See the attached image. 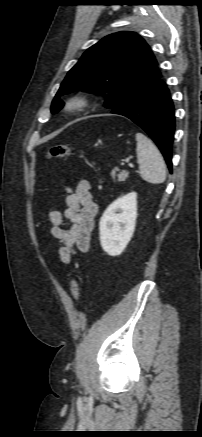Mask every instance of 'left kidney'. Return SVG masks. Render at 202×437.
Segmentation results:
<instances>
[{
  "label": "left kidney",
  "instance_id": "1",
  "mask_svg": "<svg viewBox=\"0 0 202 437\" xmlns=\"http://www.w3.org/2000/svg\"><path fill=\"white\" fill-rule=\"evenodd\" d=\"M137 218V193L115 200L103 213L99 223L100 243L110 256L120 255L131 240Z\"/></svg>",
  "mask_w": 202,
  "mask_h": 437
}]
</instances>
